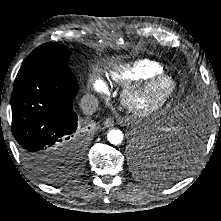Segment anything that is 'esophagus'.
Instances as JSON below:
<instances>
[{
  "mask_svg": "<svg viewBox=\"0 0 221 221\" xmlns=\"http://www.w3.org/2000/svg\"><path fill=\"white\" fill-rule=\"evenodd\" d=\"M103 124L106 128L112 127L114 125V120L112 118H106Z\"/></svg>",
  "mask_w": 221,
  "mask_h": 221,
  "instance_id": "obj_1",
  "label": "esophagus"
}]
</instances>
